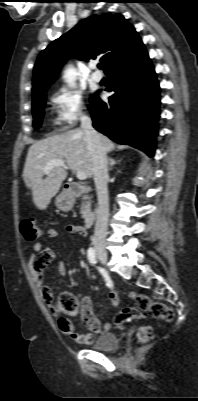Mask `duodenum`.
I'll list each match as a JSON object with an SVG mask.
<instances>
[{
	"instance_id": "1",
	"label": "duodenum",
	"mask_w": 198,
	"mask_h": 401,
	"mask_svg": "<svg viewBox=\"0 0 198 401\" xmlns=\"http://www.w3.org/2000/svg\"><path fill=\"white\" fill-rule=\"evenodd\" d=\"M66 190L68 193V199L72 201L82 194L89 192L91 189L90 187L81 184H70L69 186H67ZM95 218V213L93 211H88L83 219L85 228L91 227L95 222Z\"/></svg>"
}]
</instances>
